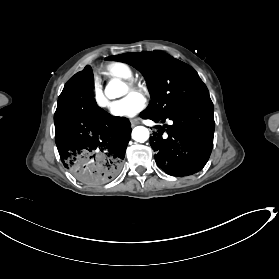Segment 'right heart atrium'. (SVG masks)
Wrapping results in <instances>:
<instances>
[{"instance_id":"right-heart-atrium-1","label":"right heart atrium","mask_w":279,"mask_h":279,"mask_svg":"<svg viewBox=\"0 0 279 279\" xmlns=\"http://www.w3.org/2000/svg\"><path fill=\"white\" fill-rule=\"evenodd\" d=\"M93 97L96 105L101 108L105 109L108 107V100L101 88V85L98 81L94 82L93 86Z\"/></svg>"}]
</instances>
